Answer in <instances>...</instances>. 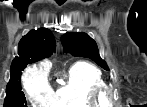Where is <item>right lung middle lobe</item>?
I'll return each mask as SVG.
<instances>
[{"mask_svg":"<svg viewBox=\"0 0 147 107\" xmlns=\"http://www.w3.org/2000/svg\"><path fill=\"white\" fill-rule=\"evenodd\" d=\"M27 65L21 67L13 77L10 75V81L6 88V98L3 107L27 106L26 98L23 92L21 91V71H23Z\"/></svg>","mask_w":147,"mask_h":107,"instance_id":"obj_1","label":"right lung middle lobe"}]
</instances>
